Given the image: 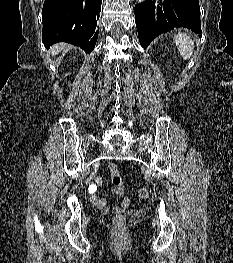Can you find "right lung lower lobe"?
Wrapping results in <instances>:
<instances>
[{"label":"right lung lower lobe","instance_id":"1","mask_svg":"<svg viewBox=\"0 0 233 263\" xmlns=\"http://www.w3.org/2000/svg\"><path fill=\"white\" fill-rule=\"evenodd\" d=\"M102 0H45L42 9V42L46 48L67 42L90 53L96 44V28Z\"/></svg>","mask_w":233,"mask_h":263}]
</instances>
